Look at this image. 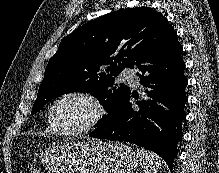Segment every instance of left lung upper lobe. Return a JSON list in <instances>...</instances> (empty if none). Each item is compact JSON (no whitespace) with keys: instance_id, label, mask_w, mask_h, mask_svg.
<instances>
[{"instance_id":"1","label":"left lung upper lobe","mask_w":219,"mask_h":173,"mask_svg":"<svg viewBox=\"0 0 219 173\" xmlns=\"http://www.w3.org/2000/svg\"><path fill=\"white\" fill-rule=\"evenodd\" d=\"M173 31L165 16L148 7L119 10L84 24L60 42L49 60L31 114L63 94L90 92L108 112L98 121L100 127L130 92L115 84V76L133 68Z\"/></svg>"}]
</instances>
